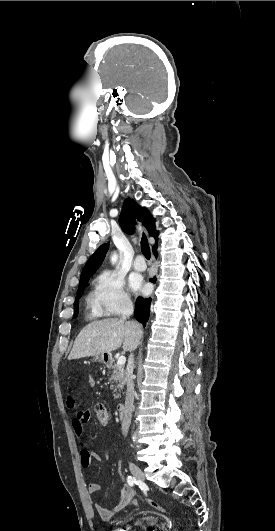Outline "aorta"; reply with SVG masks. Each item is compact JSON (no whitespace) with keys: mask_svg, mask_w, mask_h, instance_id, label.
Here are the masks:
<instances>
[{"mask_svg":"<svg viewBox=\"0 0 275 531\" xmlns=\"http://www.w3.org/2000/svg\"><path fill=\"white\" fill-rule=\"evenodd\" d=\"M117 261H118V255H112V257H111L112 265H115V263H117Z\"/></svg>","mask_w":275,"mask_h":531,"instance_id":"1","label":"aorta"}]
</instances>
